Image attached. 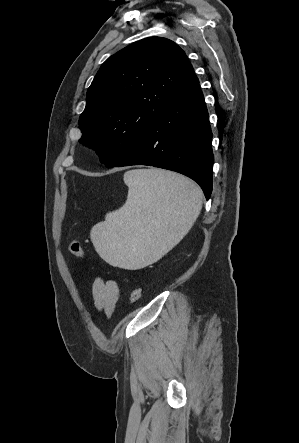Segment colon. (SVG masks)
Listing matches in <instances>:
<instances>
[{
	"label": "colon",
	"mask_w": 299,
	"mask_h": 443,
	"mask_svg": "<svg viewBox=\"0 0 299 443\" xmlns=\"http://www.w3.org/2000/svg\"><path fill=\"white\" fill-rule=\"evenodd\" d=\"M69 250L70 252L80 258H84L85 254L83 251V248L81 246V244L77 241V240H71L69 243ZM142 295L141 289L140 288H134L132 289V291L130 292V296H129V301L131 303H136L140 300Z\"/></svg>",
	"instance_id": "1"
}]
</instances>
